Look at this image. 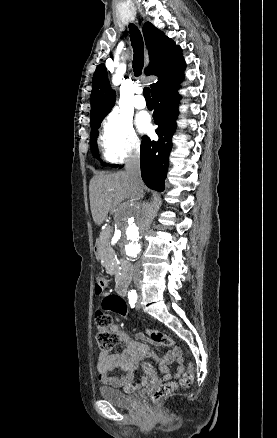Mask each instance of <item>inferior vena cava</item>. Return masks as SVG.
Listing matches in <instances>:
<instances>
[{"instance_id":"inferior-vena-cava-1","label":"inferior vena cava","mask_w":277,"mask_h":438,"mask_svg":"<svg viewBox=\"0 0 277 438\" xmlns=\"http://www.w3.org/2000/svg\"><path fill=\"white\" fill-rule=\"evenodd\" d=\"M126 174L128 176V182L133 190H142L143 182L141 180L140 172V154L139 152H133L132 156H128L125 166ZM140 264L137 262L134 268L133 282L138 284L140 280Z\"/></svg>"}]
</instances>
